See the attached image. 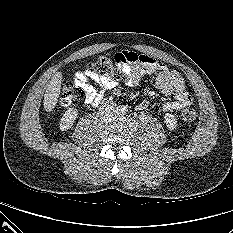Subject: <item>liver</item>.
<instances>
[{"instance_id":"obj_1","label":"liver","mask_w":233,"mask_h":233,"mask_svg":"<svg viewBox=\"0 0 233 233\" xmlns=\"http://www.w3.org/2000/svg\"><path fill=\"white\" fill-rule=\"evenodd\" d=\"M62 74L57 72L50 80L44 94L43 105L47 112H51L57 104L61 92Z\"/></svg>"}]
</instances>
